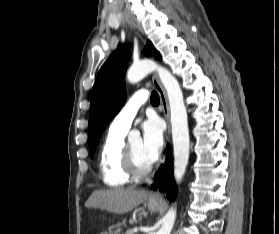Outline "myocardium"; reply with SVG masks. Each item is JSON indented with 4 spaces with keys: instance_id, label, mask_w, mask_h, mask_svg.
<instances>
[{
    "instance_id": "obj_1",
    "label": "myocardium",
    "mask_w": 279,
    "mask_h": 234,
    "mask_svg": "<svg viewBox=\"0 0 279 234\" xmlns=\"http://www.w3.org/2000/svg\"><path fill=\"white\" fill-rule=\"evenodd\" d=\"M155 161V160H154ZM154 161H151L146 166H140L135 158L133 150L128 143L123 145V166L126 173L131 179H141L147 176L154 165Z\"/></svg>"
}]
</instances>
